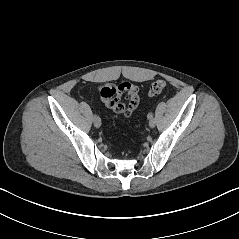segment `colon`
Wrapping results in <instances>:
<instances>
[{"instance_id":"1","label":"colon","mask_w":239,"mask_h":239,"mask_svg":"<svg viewBox=\"0 0 239 239\" xmlns=\"http://www.w3.org/2000/svg\"><path fill=\"white\" fill-rule=\"evenodd\" d=\"M167 83L164 80H157L153 82L149 88V96L153 97L160 94L165 88Z\"/></svg>"}]
</instances>
